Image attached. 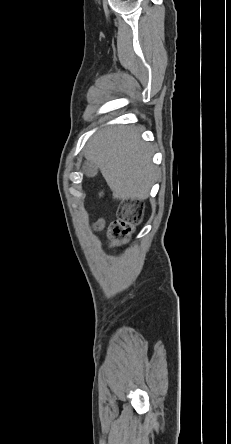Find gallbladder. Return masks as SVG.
Segmentation results:
<instances>
[{
    "label": "gallbladder",
    "instance_id": "obj_1",
    "mask_svg": "<svg viewBox=\"0 0 231 444\" xmlns=\"http://www.w3.org/2000/svg\"><path fill=\"white\" fill-rule=\"evenodd\" d=\"M97 169V165L90 160H87L83 165V170L89 177H94L97 174Z\"/></svg>",
    "mask_w": 231,
    "mask_h": 444
}]
</instances>
